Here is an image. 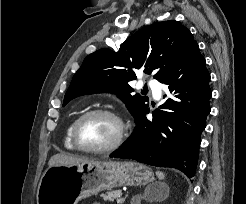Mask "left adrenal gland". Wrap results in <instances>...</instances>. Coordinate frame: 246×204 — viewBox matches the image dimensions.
Here are the masks:
<instances>
[{
    "label": "left adrenal gland",
    "mask_w": 246,
    "mask_h": 204,
    "mask_svg": "<svg viewBox=\"0 0 246 204\" xmlns=\"http://www.w3.org/2000/svg\"><path fill=\"white\" fill-rule=\"evenodd\" d=\"M146 197V192L144 193V195H136L132 198L131 200V204H136L138 201H140V199Z\"/></svg>",
    "instance_id": "obj_1"
}]
</instances>
